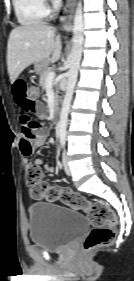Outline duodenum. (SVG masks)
Returning a JSON list of instances; mask_svg holds the SVG:
<instances>
[{
  "mask_svg": "<svg viewBox=\"0 0 134 281\" xmlns=\"http://www.w3.org/2000/svg\"><path fill=\"white\" fill-rule=\"evenodd\" d=\"M58 117H59V105L57 103H55L52 107V120L54 122H57Z\"/></svg>",
  "mask_w": 134,
  "mask_h": 281,
  "instance_id": "duodenum-1",
  "label": "duodenum"
}]
</instances>
